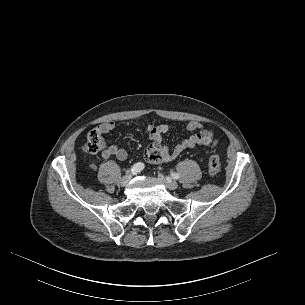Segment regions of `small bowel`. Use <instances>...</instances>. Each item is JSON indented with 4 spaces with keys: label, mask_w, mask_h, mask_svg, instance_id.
Returning <instances> with one entry per match:
<instances>
[{
    "label": "small bowel",
    "mask_w": 305,
    "mask_h": 305,
    "mask_svg": "<svg viewBox=\"0 0 305 305\" xmlns=\"http://www.w3.org/2000/svg\"><path fill=\"white\" fill-rule=\"evenodd\" d=\"M115 129V122L107 121L97 127L101 134H107ZM175 129L170 124H155L148 123L145 127V132L149 136L150 144L144 151L145 159L153 164H164L176 159L184 150L201 147L209 149L215 146L217 139L215 132L212 129H206L204 124L200 121H190L186 125V130L193 133L186 137L170 150L163 144L162 136ZM104 159L115 157L118 160H126L128 153L124 148L116 144L109 145L103 152Z\"/></svg>",
    "instance_id": "c3829d8e"
}]
</instances>
